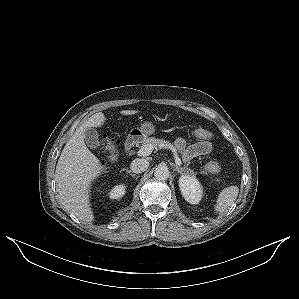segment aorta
<instances>
[{
	"label": "aorta",
	"mask_w": 299,
	"mask_h": 299,
	"mask_svg": "<svg viewBox=\"0 0 299 299\" xmlns=\"http://www.w3.org/2000/svg\"><path fill=\"white\" fill-rule=\"evenodd\" d=\"M169 174H170V172L166 165H158L155 168L154 176L158 180H161V181L167 180L169 178Z\"/></svg>",
	"instance_id": "1"
}]
</instances>
